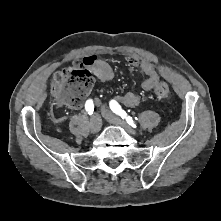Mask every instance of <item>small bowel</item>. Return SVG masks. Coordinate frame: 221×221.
<instances>
[{
  "mask_svg": "<svg viewBox=\"0 0 221 221\" xmlns=\"http://www.w3.org/2000/svg\"><path fill=\"white\" fill-rule=\"evenodd\" d=\"M91 69L95 78L100 82L111 81L114 78V72L111 66L95 56H88L83 60ZM127 63L131 67H139L146 75V79L142 82V89L146 92L151 91L159 83L160 75L156 67L149 61L139 60L136 56H129ZM118 100L127 106L135 107L140 103V96L134 92H127L118 96ZM98 103V100H95Z\"/></svg>",
  "mask_w": 221,
  "mask_h": 221,
  "instance_id": "small-bowel-1",
  "label": "small bowel"
}]
</instances>
